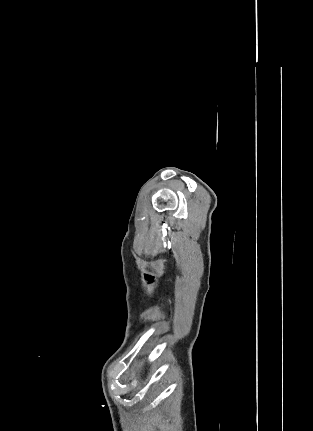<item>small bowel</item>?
Masks as SVG:
<instances>
[{"instance_id": "c3829d8e", "label": "small bowel", "mask_w": 313, "mask_h": 431, "mask_svg": "<svg viewBox=\"0 0 313 431\" xmlns=\"http://www.w3.org/2000/svg\"><path fill=\"white\" fill-rule=\"evenodd\" d=\"M140 431H147V429L145 427L141 426Z\"/></svg>"}]
</instances>
